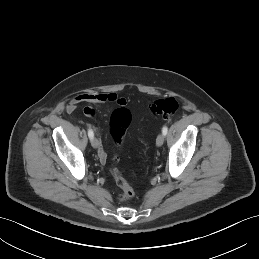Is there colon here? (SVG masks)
Instances as JSON below:
<instances>
[{"label": "colon", "instance_id": "5ec220e1", "mask_svg": "<svg viewBox=\"0 0 259 259\" xmlns=\"http://www.w3.org/2000/svg\"><path fill=\"white\" fill-rule=\"evenodd\" d=\"M178 107L179 105L177 100L175 98L168 97L156 100L152 103L150 109L154 115L168 119L177 112ZM131 120V112L125 107H119L112 112L109 119V135L116 146H120L122 144ZM117 161L118 156L114 155L111 161L110 170L120 188L119 200L127 201L134 196V190L115 166Z\"/></svg>", "mask_w": 259, "mask_h": 259}]
</instances>
